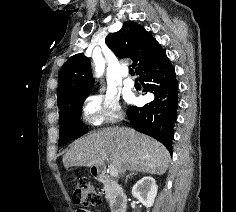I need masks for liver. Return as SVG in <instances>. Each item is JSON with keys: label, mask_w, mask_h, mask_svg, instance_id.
I'll return each mask as SVG.
<instances>
[{"label": "liver", "mask_w": 236, "mask_h": 212, "mask_svg": "<svg viewBox=\"0 0 236 212\" xmlns=\"http://www.w3.org/2000/svg\"><path fill=\"white\" fill-rule=\"evenodd\" d=\"M110 156L111 166L155 175L166 172L171 160L168 150L158 141L134 129L109 127L77 139L63 156L69 167H101Z\"/></svg>", "instance_id": "6515ba94"}]
</instances>
